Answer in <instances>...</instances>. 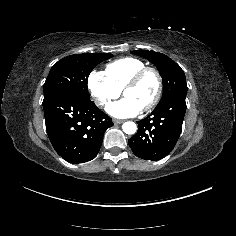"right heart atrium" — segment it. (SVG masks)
I'll use <instances>...</instances> for the list:
<instances>
[{
	"instance_id": "d8ad5b80",
	"label": "right heart atrium",
	"mask_w": 236,
	"mask_h": 236,
	"mask_svg": "<svg viewBox=\"0 0 236 236\" xmlns=\"http://www.w3.org/2000/svg\"><path fill=\"white\" fill-rule=\"evenodd\" d=\"M91 97L99 108H106L109 103L119 97L118 90L104 72L93 70L87 81Z\"/></svg>"
}]
</instances>
